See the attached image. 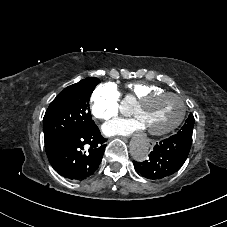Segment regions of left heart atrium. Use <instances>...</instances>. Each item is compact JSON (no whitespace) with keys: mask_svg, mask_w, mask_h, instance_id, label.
I'll use <instances>...</instances> for the list:
<instances>
[{"mask_svg":"<svg viewBox=\"0 0 227 227\" xmlns=\"http://www.w3.org/2000/svg\"><path fill=\"white\" fill-rule=\"evenodd\" d=\"M143 126L135 119H117L109 121L102 127L106 135L128 136L134 132L143 130Z\"/></svg>","mask_w":227,"mask_h":227,"instance_id":"1","label":"left heart atrium"}]
</instances>
